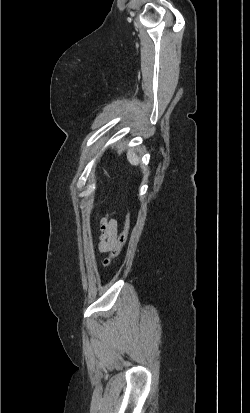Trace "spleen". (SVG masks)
<instances>
[{
	"label": "spleen",
	"mask_w": 250,
	"mask_h": 413,
	"mask_svg": "<svg viewBox=\"0 0 250 413\" xmlns=\"http://www.w3.org/2000/svg\"><path fill=\"white\" fill-rule=\"evenodd\" d=\"M127 159L130 162V164L136 166L139 163V158L136 156V154L133 152V150H128L127 152Z\"/></svg>",
	"instance_id": "3e777b00"
}]
</instances>
